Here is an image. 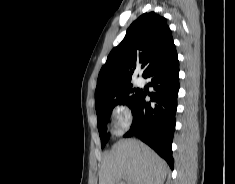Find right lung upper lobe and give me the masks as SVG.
I'll list each match as a JSON object with an SVG mask.
<instances>
[{
	"mask_svg": "<svg viewBox=\"0 0 235 184\" xmlns=\"http://www.w3.org/2000/svg\"><path fill=\"white\" fill-rule=\"evenodd\" d=\"M175 51L167 20L154 12L142 14L102 66L95 90V107L110 104L111 89L131 84L132 75L140 65L144 68V77Z\"/></svg>",
	"mask_w": 235,
	"mask_h": 184,
	"instance_id": "1",
	"label": "right lung upper lobe"
}]
</instances>
